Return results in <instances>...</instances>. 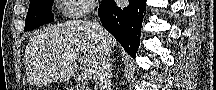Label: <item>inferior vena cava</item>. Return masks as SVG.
Listing matches in <instances>:
<instances>
[{
    "instance_id": "obj_1",
    "label": "inferior vena cava",
    "mask_w": 216,
    "mask_h": 90,
    "mask_svg": "<svg viewBox=\"0 0 216 90\" xmlns=\"http://www.w3.org/2000/svg\"><path fill=\"white\" fill-rule=\"evenodd\" d=\"M91 10H95V8H91ZM91 24L93 30L96 28L98 34H100L99 38L102 40L100 44L99 62H96V64L92 66L93 70H91L95 82L94 90H112V66L110 62L111 48L104 38L103 28L99 18H93Z\"/></svg>"
}]
</instances>
